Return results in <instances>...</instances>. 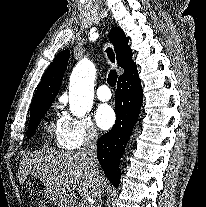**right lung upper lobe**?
Listing matches in <instances>:
<instances>
[{
    "mask_svg": "<svg viewBox=\"0 0 206 207\" xmlns=\"http://www.w3.org/2000/svg\"><path fill=\"white\" fill-rule=\"evenodd\" d=\"M109 37L114 46L117 63L126 74L135 67V63L132 61V50L128 46V38L118 27L112 28ZM69 55V50H64L50 64L38 85L30 111L41 105L51 104L55 100L68 64Z\"/></svg>",
    "mask_w": 206,
    "mask_h": 207,
    "instance_id": "obj_1",
    "label": "right lung upper lobe"
}]
</instances>
